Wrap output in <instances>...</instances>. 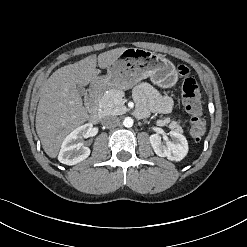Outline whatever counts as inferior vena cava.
<instances>
[{"label": "inferior vena cava", "mask_w": 247, "mask_h": 247, "mask_svg": "<svg viewBox=\"0 0 247 247\" xmlns=\"http://www.w3.org/2000/svg\"><path fill=\"white\" fill-rule=\"evenodd\" d=\"M119 118L117 116L109 115L104 117L101 120L102 125L108 127V128H113L119 124Z\"/></svg>", "instance_id": "inferior-vena-cava-1"}]
</instances>
